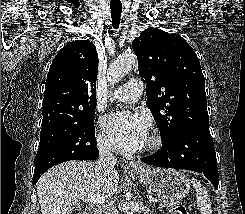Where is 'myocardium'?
<instances>
[{
  "mask_svg": "<svg viewBox=\"0 0 245 214\" xmlns=\"http://www.w3.org/2000/svg\"><path fill=\"white\" fill-rule=\"evenodd\" d=\"M161 145V138L158 135H151L146 143L144 151L151 152L157 150Z\"/></svg>",
  "mask_w": 245,
  "mask_h": 214,
  "instance_id": "obj_1",
  "label": "myocardium"
}]
</instances>
